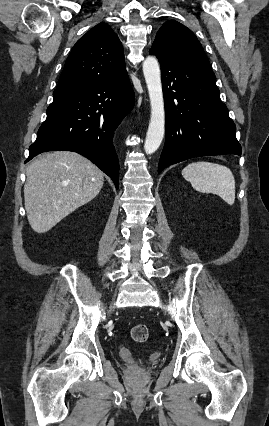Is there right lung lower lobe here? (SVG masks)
<instances>
[{"label":"right lung lower lobe","mask_w":269,"mask_h":426,"mask_svg":"<svg viewBox=\"0 0 269 426\" xmlns=\"http://www.w3.org/2000/svg\"><path fill=\"white\" fill-rule=\"evenodd\" d=\"M128 74L108 82L75 87L54 98L47 118L29 147V157L56 150L77 152L106 173L119 187V160L114 132L134 106Z\"/></svg>","instance_id":"1"}]
</instances>
